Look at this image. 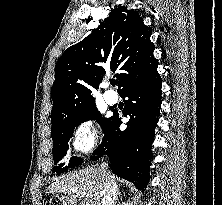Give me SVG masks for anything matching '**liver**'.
Returning <instances> with one entry per match:
<instances>
[{
  "mask_svg": "<svg viewBox=\"0 0 222 205\" xmlns=\"http://www.w3.org/2000/svg\"><path fill=\"white\" fill-rule=\"evenodd\" d=\"M109 178L117 188L118 178L108 173ZM105 180L100 174L99 169L85 168L78 172H72L56 179L48 187L50 193H61L60 201L62 205H77V199L83 197L82 203L85 205H100V196L104 189ZM84 193V196L80 194Z\"/></svg>",
  "mask_w": 222,
  "mask_h": 205,
  "instance_id": "liver-1",
  "label": "liver"
}]
</instances>
